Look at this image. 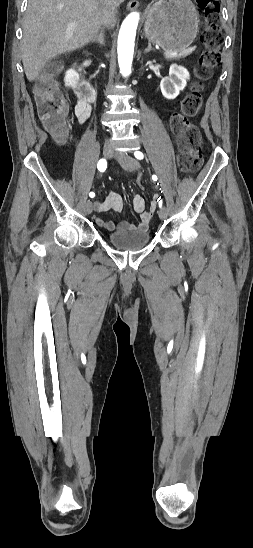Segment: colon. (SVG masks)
<instances>
[{
  "label": "colon",
  "mask_w": 253,
  "mask_h": 548,
  "mask_svg": "<svg viewBox=\"0 0 253 548\" xmlns=\"http://www.w3.org/2000/svg\"><path fill=\"white\" fill-rule=\"evenodd\" d=\"M206 18V25L201 39L205 46L196 68L197 82L181 100L178 113L171 117L170 126L179 146L178 163L182 172L194 173L202 165L201 134L189 118L195 116L202 107V82L208 80L212 71L221 61L220 48L223 35L220 29V5L218 0H198ZM52 66L42 73L34 83V97L38 115L43 125L58 138L63 139L67 133V102L60 93ZM143 175L137 176V189L146 192Z\"/></svg>",
  "instance_id": "5ec220e1"
}]
</instances>
